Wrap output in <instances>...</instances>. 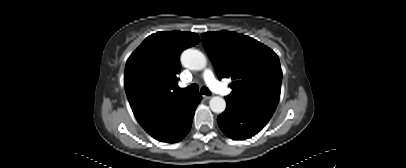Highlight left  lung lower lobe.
<instances>
[{
    "instance_id": "1",
    "label": "left lung lower lobe",
    "mask_w": 406,
    "mask_h": 168,
    "mask_svg": "<svg viewBox=\"0 0 406 168\" xmlns=\"http://www.w3.org/2000/svg\"><path fill=\"white\" fill-rule=\"evenodd\" d=\"M226 99L227 108L217 118L221 130L234 140H244L257 134L273 113Z\"/></svg>"
}]
</instances>
